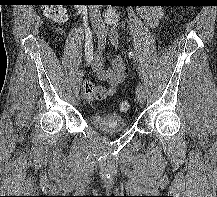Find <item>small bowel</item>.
I'll list each match as a JSON object with an SVG mask.
<instances>
[{
  "label": "small bowel",
  "mask_w": 217,
  "mask_h": 197,
  "mask_svg": "<svg viewBox=\"0 0 217 197\" xmlns=\"http://www.w3.org/2000/svg\"><path fill=\"white\" fill-rule=\"evenodd\" d=\"M145 21L150 26L157 25L161 15L156 9H146L142 12ZM104 46L98 44L95 51H93L92 65L96 71L98 77L108 83V87H102L105 90V99L107 96L114 95L117 91V87L124 80L127 75V69L121 56L116 55L109 58L111 68L107 69L104 66L103 50ZM89 97V96H88ZM91 98V97H90ZM102 100V99H101Z\"/></svg>",
  "instance_id": "obj_1"
}]
</instances>
